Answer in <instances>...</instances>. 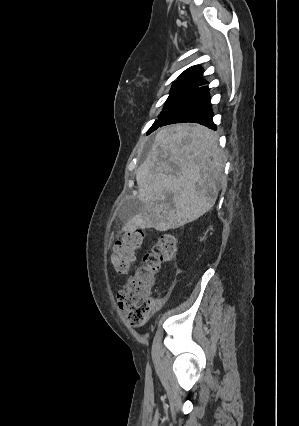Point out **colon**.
<instances>
[{
  "instance_id": "1",
  "label": "colon",
  "mask_w": 299,
  "mask_h": 426,
  "mask_svg": "<svg viewBox=\"0 0 299 426\" xmlns=\"http://www.w3.org/2000/svg\"><path fill=\"white\" fill-rule=\"evenodd\" d=\"M144 233L134 230L124 233L116 240L111 256V264L118 274L126 273L143 243ZM176 240L172 235H162L147 253L134 275L127 279L117 295L120 308L127 321L133 326H141L157 308L158 301L152 296L156 275L163 263L175 259Z\"/></svg>"
}]
</instances>
